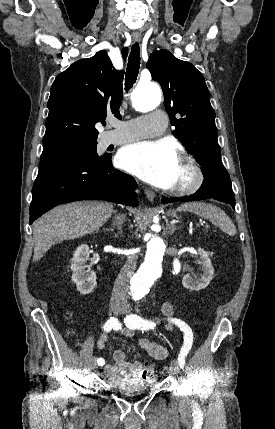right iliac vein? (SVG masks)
Instances as JSON below:
<instances>
[{
  "mask_svg": "<svg viewBox=\"0 0 275 429\" xmlns=\"http://www.w3.org/2000/svg\"><path fill=\"white\" fill-rule=\"evenodd\" d=\"M111 309H112V311H113L114 314H118L121 311L122 306L120 304H118V303H114V304L111 305ZM90 367L92 369H96L97 368V363H96L95 359H93L91 361Z\"/></svg>",
  "mask_w": 275,
  "mask_h": 429,
  "instance_id": "obj_1",
  "label": "right iliac vein"
}]
</instances>
